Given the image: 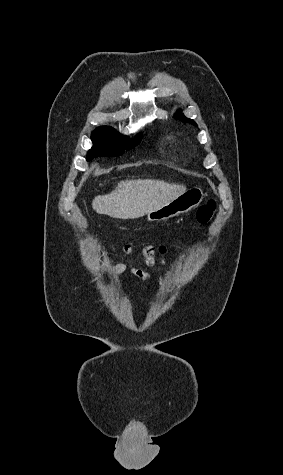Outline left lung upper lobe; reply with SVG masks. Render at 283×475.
Returning <instances> with one entry per match:
<instances>
[{
	"mask_svg": "<svg viewBox=\"0 0 283 475\" xmlns=\"http://www.w3.org/2000/svg\"><path fill=\"white\" fill-rule=\"evenodd\" d=\"M175 118H176V119H179V120H182L183 122H189V123H191L192 125L197 126V124H196L192 119L186 118V117L181 113V110L176 113Z\"/></svg>",
	"mask_w": 283,
	"mask_h": 475,
	"instance_id": "1",
	"label": "left lung upper lobe"
}]
</instances>
